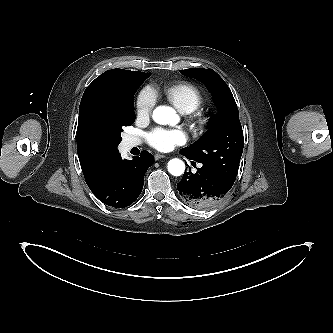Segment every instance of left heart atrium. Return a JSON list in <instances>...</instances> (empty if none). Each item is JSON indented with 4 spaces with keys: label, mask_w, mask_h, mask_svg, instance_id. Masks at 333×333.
Segmentation results:
<instances>
[{
    "label": "left heart atrium",
    "mask_w": 333,
    "mask_h": 333,
    "mask_svg": "<svg viewBox=\"0 0 333 333\" xmlns=\"http://www.w3.org/2000/svg\"><path fill=\"white\" fill-rule=\"evenodd\" d=\"M148 141L160 151H169L177 145L184 144L186 137L180 130L155 129L148 134Z\"/></svg>",
    "instance_id": "obj_1"
}]
</instances>
